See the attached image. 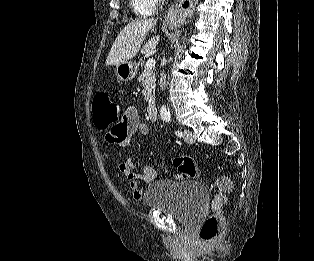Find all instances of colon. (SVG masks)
Segmentation results:
<instances>
[{
	"label": "colon",
	"mask_w": 314,
	"mask_h": 261,
	"mask_svg": "<svg viewBox=\"0 0 314 261\" xmlns=\"http://www.w3.org/2000/svg\"><path fill=\"white\" fill-rule=\"evenodd\" d=\"M92 106L93 121L97 128L106 129L121 122L120 106L106 92L95 94ZM173 166L177 169V177L180 179H191L198 175L197 164L191 157H177L173 160ZM217 186L220 191L212 203L213 214L208 216L200 227V237L205 242H213L218 238L223 223L221 212L228 201V193L232 189L231 182L222 176L217 179Z\"/></svg>",
	"instance_id": "5ec220e1"
}]
</instances>
